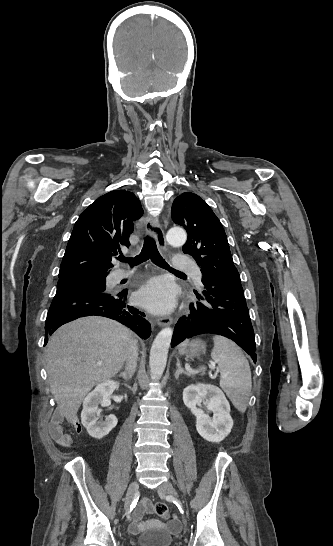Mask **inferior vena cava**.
Instances as JSON below:
<instances>
[{"label": "inferior vena cava", "mask_w": 333, "mask_h": 546, "mask_svg": "<svg viewBox=\"0 0 333 546\" xmlns=\"http://www.w3.org/2000/svg\"><path fill=\"white\" fill-rule=\"evenodd\" d=\"M138 348L135 340H130L129 347L126 354V371L128 373H134L137 366Z\"/></svg>", "instance_id": "inferior-vena-cava-1"}]
</instances>
